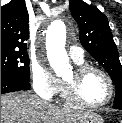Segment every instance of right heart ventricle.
Wrapping results in <instances>:
<instances>
[{
    "mask_svg": "<svg viewBox=\"0 0 122 123\" xmlns=\"http://www.w3.org/2000/svg\"><path fill=\"white\" fill-rule=\"evenodd\" d=\"M77 65H82V64H84V59L83 60H81V61H74ZM60 90L62 91V97H63V99H65L64 98V94H63V85L61 84V88H60Z\"/></svg>",
    "mask_w": 122,
    "mask_h": 123,
    "instance_id": "e07e8e85",
    "label": "right heart ventricle"
}]
</instances>
